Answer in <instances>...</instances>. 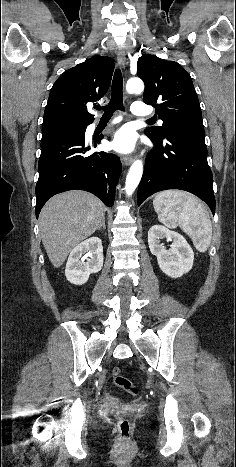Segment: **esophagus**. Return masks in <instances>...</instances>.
<instances>
[{"mask_svg": "<svg viewBox=\"0 0 236 467\" xmlns=\"http://www.w3.org/2000/svg\"><path fill=\"white\" fill-rule=\"evenodd\" d=\"M117 53V61L122 69H125L126 67V57H125V51L122 47H119L116 51ZM133 162V157L132 156H124L122 157V163L125 166L130 165Z\"/></svg>", "mask_w": 236, "mask_h": 467, "instance_id": "obj_1", "label": "esophagus"}]
</instances>
